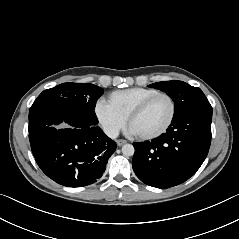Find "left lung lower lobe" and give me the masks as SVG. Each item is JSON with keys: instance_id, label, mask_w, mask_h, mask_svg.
<instances>
[{"instance_id": "left-lung-lower-lobe-1", "label": "left lung lower lobe", "mask_w": 239, "mask_h": 239, "mask_svg": "<svg viewBox=\"0 0 239 239\" xmlns=\"http://www.w3.org/2000/svg\"><path fill=\"white\" fill-rule=\"evenodd\" d=\"M212 107L189 110L173 118L167 132L152 141L133 143L132 167L147 185H179L202 165L211 143Z\"/></svg>"}]
</instances>
